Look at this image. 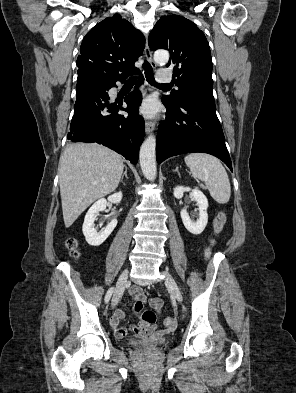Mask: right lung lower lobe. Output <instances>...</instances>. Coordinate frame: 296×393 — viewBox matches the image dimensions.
Here are the masks:
<instances>
[{
  "label": "right lung lower lobe",
  "mask_w": 296,
  "mask_h": 393,
  "mask_svg": "<svg viewBox=\"0 0 296 393\" xmlns=\"http://www.w3.org/2000/svg\"><path fill=\"white\" fill-rule=\"evenodd\" d=\"M143 79L139 78L137 86ZM112 87H116V81L104 83L91 72H78L74 116L67 138L73 142L105 145L136 164L145 130L144 121L138 114L141 93L133 91L126 96L127 107L123 108V101L118 105L109 103L108 91ZM120 110L128 112V117L118 114Z\"/></svg>",
  "instance_id": "right-lung-lower-lobe-1"
}]
</instances>
